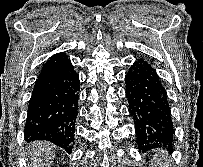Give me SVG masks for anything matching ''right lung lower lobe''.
Returning a JSON list of instances; mask_svg holds the SVG:
<instances>
[{
    "instance_id": "1",
    "label": "right lung lower lobe",
    "mask_w": 203,
    "mask_h": 167,
    "mask_svg": "<svg viewBox=\"0 0 203 167\" xmlns=\"http://www.w3.org/2000/svg\"><path fill=\"white\" fill-rule=\"evenodd\" d=\"M79 91V76L70 60L54 75L37 81L29 101L25 140H46L71 153Z\"/></svg>"
}]
</instances>
